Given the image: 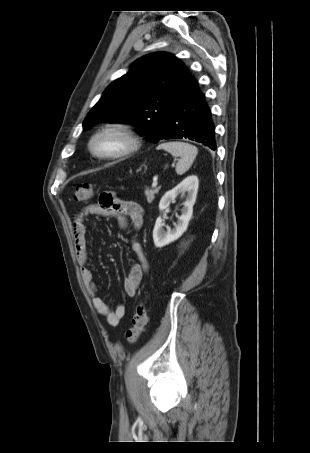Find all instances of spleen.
<instances>
[{
	"mask_svg": "<svg viewBox=\"0 0 310 453\" xmlns=\"http://www.w3.org/2000/svg\"><path fill=\"white\" fill-rule=\"evenodd\" d=\"M157 149L165 150L174 157H180L175 168L178 175H182L189 170L198 154L196 146L178 141L162 143Z\"/></svg>",
	"mask_w": 310,
	"mask_h": 453,
	"instance_id": "obj_1",
	"label": "spleen"
}]
</instances>
